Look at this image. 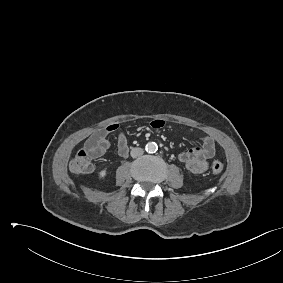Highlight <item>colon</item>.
<instances>
[{
	"mask_svg": "<svg viewBox=\"0 0 283 283\" xmlns=\"http://www.w3.org/2000/svg\"><path fill=\"white\" fill-rule=\"evenodd\" d=\"M91 155L86 150H80L70 162V170L73 173H88L92 170ZM223 164L219 161H214L211 165V170L214 174L223 172Z\"/></svg>",
	"mask_w": 283,
	"mask_h": 283,
	"instance_id": "colon-1",
	"label": "colon"
}]
</instances>
